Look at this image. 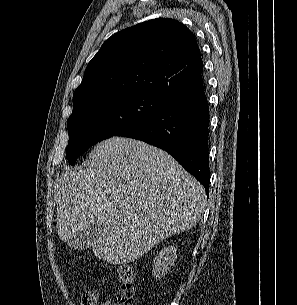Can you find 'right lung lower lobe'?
Returning <instances> with one entry per match:
<instances>
[{
	"label": "right lung lower lobe",
	"mask_w": 297,
	"mask_h": 305,
	"mask_svg": "<svg viewBox=\"0 0 297 305\" xmlns=\"http://www.w3.org/2000/svg\"><path fill=\"white\" fill-rule=\"evenodd\" d=\"M209 109L203 86L172 97L144 121L120 132L164 149L209 192Z\"/></svg>",
	"instance_id": "1"
}]
</instances>
